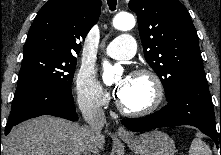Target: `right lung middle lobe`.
<instances>
[{"label": "right lung middle lobe", "mask_w": 221, "mask_h": 155, "mask_svg": "<svg viewBox=\"0 0 221 155\" xmlns=\"http://www.w3.org/2000/svg\"><path fill=\"white\" fill-rule=\"evenodd\" d=\"M76 59L49 54H31L23 57L15 97L30 84L39 83L59 91L71 93Z\"/></svg>", "instance_id": "dd1d6c3e"}]
</instances>
